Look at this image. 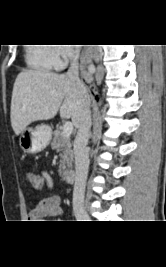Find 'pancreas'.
<instances>
[{"label":"pancreas","mask_w":166,"mask_h":267,"mask_svg":"<svg viewBox=\"0 0 166 267\" xmlns=\"http://www.w3.org/2000/svg\"><path fill=\"white\" fill-rule=\"evenodd\" d=\"M53 150L60 152V166L59 173L64 176L68 169L72 167L73 162V151L70 137L63 135L60 129L54 131V138L51 142Z\"/></svg>","instance_id":"pancreas-1"}]
</instances>
